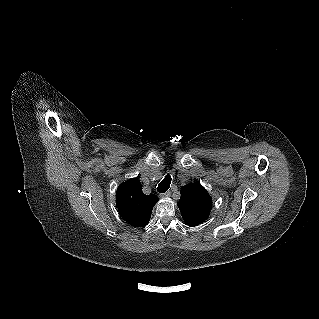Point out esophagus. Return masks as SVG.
<instances>
[{"label":"esophagus","mask_w":319,"mask_h":319,"mask_svg":"<svg viewBox=\"0 0 319 319\" xmlns=\"http://www.w3.org/2000/svg\"><path fill=\"white\" fill-rule=\"evenodd\" d=\"M170 195H171V192H170V191H167V192H165V193L160 194V197H161V198H168V197H170Z\"/></svg>","instance_id":"esophagus-1"}]
</instances>
